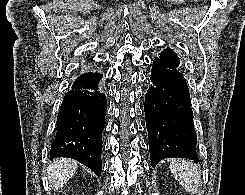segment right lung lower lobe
Segmentation results:
<instances>
[{
	"label": "right lung lower lobe",
	"mask_w": 245,
	"mask_h": 195,
	"mask_svg": "<svg viewBox=\"0 0 245 195\" xmlns=\"http://www.w3.org/2000/svg\"><path fill=\"white\" fill-rule=\"evenodd\" d=\"M102 74L86 72L78 76L67 92L57 118V132L50 158L69 157L102 171V132L107 109Z\"/></svg>",
	"instance_id": "right-lung-lower-lobe-1"
}]
</instances>
